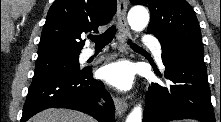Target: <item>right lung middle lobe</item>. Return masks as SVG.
<instances>
[{
  "label": "right lung middle lobe",
  "instance_id": "obj_1",
  "mask_svg": "<svg viewBox=\"0 0 221 122\" xmlns=\"http://www.w3.org/2000/svg\"><path fill=\"white\" fill-rule=\"evenodd\" d=\"M82 70L79 68V55L55 56L38 59L35 64L33 80L59 74L79 73Z\"/></svg>",
  "mask_w": 221,
  "mask_h": 122
}]
</instances>
